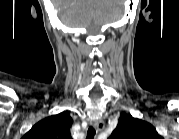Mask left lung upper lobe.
<instances>
[{"instance_id": "1", "label": "left lung upper lobe", "mask_w": 179, "mask_h": 139, "mask_svg": "<svg viewBox=\"0 0 179 139\" xmlns=\"http://www.w3.org/2000/svg\"><path fill=\"white\" fill-rule=\"evenodd\" d=\"M159 137L151 124L131 115L121 116L110 136L111 139H159Z\"/></svg>"}]
</instances>
